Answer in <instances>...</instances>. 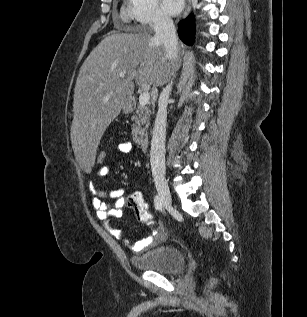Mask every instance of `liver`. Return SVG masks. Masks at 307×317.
Here are the masks:
<instances>
[{
  "label": "liver",
  "mask_w": 307,
  "mask_h": 317,
  "mask_svg": "<svg viewBox=\"0 0 307 317\" xmlns=\"http://www.w3.org/2000/svg\"><path fill=\"white\" fill-rule=\"evenodd\" d=\"M120 73H124L123 78ZM170 63L150 31L112 32L89 54L74 89L71 141L83 175H92L96 149L110 123L129 101L134 82L142 88L168 80Z\"/></svg>",
  "instance_id": "6515ba94"
}]
</instances>
